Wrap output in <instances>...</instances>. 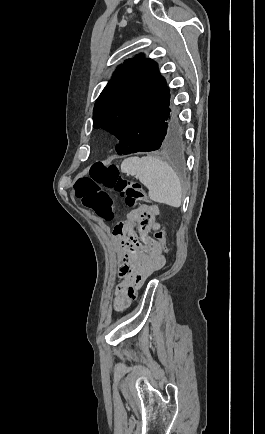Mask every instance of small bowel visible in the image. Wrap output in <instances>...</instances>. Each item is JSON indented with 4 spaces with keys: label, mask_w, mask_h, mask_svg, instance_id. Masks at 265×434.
I'll return each instance as SVG.
<instances>
[{
    "label": "small bowel",
    "mask_w": 265,
    "mask_h": 434,
    "mask_svg": "<svg viewBox=\"0 0 265 434\" xmlns=\"http://www.w3.org/2000/svg\"><path fill=\"white\" fill-rule=\"evenodd\" d=\"M158 214L159 210L155 205L133 209L122 222L131 233L114 235L121 246L117 269L121 283L114 290L116 298L113 304L117 313L124 312L136 299V289L149 275L157 273L155 267L161 269L165 265L163 249L151 237L152 232L161 228L157 221Z\"/></svg>",
    "instance_id": "c3829d8e"
}]
</instances>
